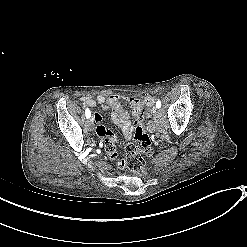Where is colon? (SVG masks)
I'll return each instance as SVG.
<instances>
[{
  "mask_svg": "<svg viewBox=\"0 0 247 247\" xmlns=\"http://www.w3.org/2000/svg\"><path fill=\"white\" fill-rule=\"evenodd\" d=\"M144 113L145 109L143 107H137V125L134 131L135 141L127 143L125 146L126 168L142 175L146 174L143 169L144 160L142 154L152 155L154 152L151 139L145 130Z\"/></svg>",
  "mask_w": 247,
  "mask_h": 247,
  "instance_id": "5ec220e1",
  "label": "colon"
}]
</instances>
